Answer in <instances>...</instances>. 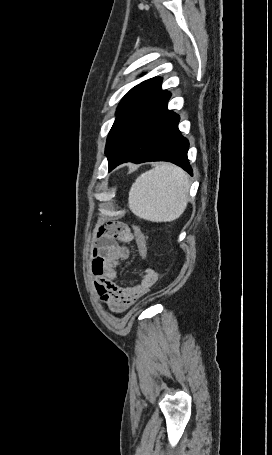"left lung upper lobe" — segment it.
<instances>
[{
  "mask_svg": "<svg viewBox=\"0 0 272 455\" xmlns=\"http://www.w3.org/2000/svg\"><path fill=\"white\" fill-rule=\"evenodd\" d=\"M162 78H151L139 85L133 87L121 100L117 112L115 122L109 132L105 154L109 152L114 144L117 136L120 134L123 127L130 119L140 111L148 102L160 94Z\"/></svg>",
  "mask_w": 272,
  "mask_h": 455,
  "instance_id": "5c2ea615",
  "label": "left lung upper lobe"
}]
</instances>
